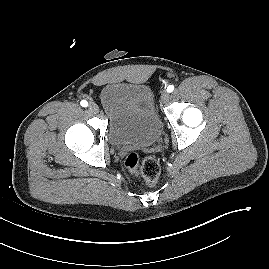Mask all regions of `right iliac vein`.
I'll return each mask as SVG.
<instances>
[{
    "label": "right iliac vein",
    "instance_id": "obj_1",
    "mask_svg": "<svg viewBox=\"0 0 269 269\" xmlns=\"http://www.w3.org/2000/svg\"><path fill=\"white\" fill-rule=\"evenodd\" d=\"M89 110H90L92 113H98L99 108H98V106H97L96 103L91 102V103L89 104Z\"/></svg>",
    "mask_w": 269,
    "mask_h": 269
}]
</instances>
